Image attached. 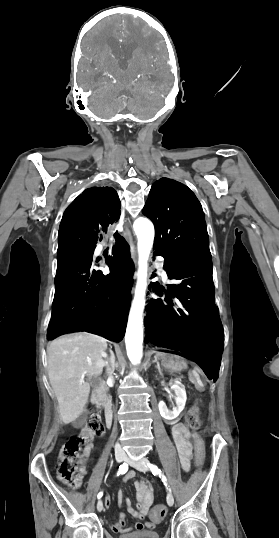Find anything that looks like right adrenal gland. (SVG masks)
<instances>
[{
    "label": "right adrenal gland",
    "instance_id": "right-adrenal-gland-1",
    "mask_svg": "<svg viewBox=\"0 0 279 538\" xmlns=\"http://www.w3.org/2000/svg\"><path fill=\"white\" fill-rule=\"evenodd\" d=\"M109 352H110V358H109V360H110L112 366H114V362H115L114 352H112V350H109Z\"/></svg>",
    "mask_w": 279,
    "mask_h": 538
}]
</instances>
